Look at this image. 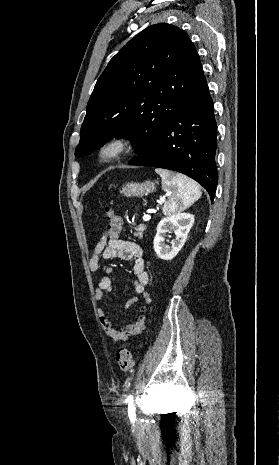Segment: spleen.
<instances>
[{"mask_svg":"<svg viewBox=\"0 0 279 465\" xmlns=\"http://www.w3.org/2000/svg\"><path fill=\"white\" fill-rule=\"evenodd\" d=\"M155 171L160 175L162 188L168 194V200L163 206L164 215L180 212L201 197L202 192L199 185L189 177L164 169H156Z\"/></svg>","mask_w":279,"mask_h":465,"instance_id":"spleen-1","label":"spleen"}]
</instances>
